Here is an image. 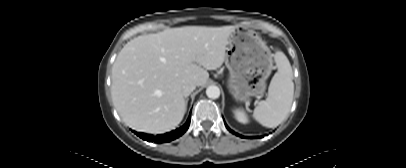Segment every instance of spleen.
<instances>
[{
    "instance_id": "1",
    "label": "spleen",
    "mask_w": 406,
    "mask_h": 168,
    "mask_svg": "<svg viewBox=\"0 0 406 168\" xmlns=\"http://www.w3.org/2000/svg\"><path fill=\"white\" fill-rule=\"evenodd\" d=\"M274 60L278 70L270 82L268 96L253 111V118L267 128H274L287 118L294 95L293 72L288 58L276 51Z\"/></svg>"
}]
</instances>
